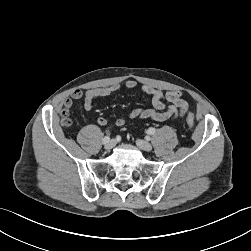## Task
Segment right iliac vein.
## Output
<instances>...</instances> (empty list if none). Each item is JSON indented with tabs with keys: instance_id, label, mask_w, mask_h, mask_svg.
Here are the masks:
<instances>
[{
	"instance_id": "63e3f726",
	"label": "right iliac vein",
	"mask_w": 251,
	"mask_h": 251,
	"mask_svg": "<svg viewBox=\"0 0 251 251\" xmlns=\"http://www.w3.org/2000/svg\"><path fill=\"white\" fill-rule=\"evenodd\" d=\"M115 146V141L111 140L107 144H105V149L106 150H111Z\"/></svg>"
}]
</instances>
